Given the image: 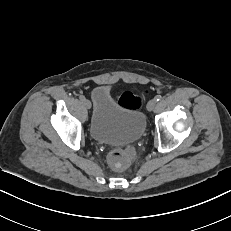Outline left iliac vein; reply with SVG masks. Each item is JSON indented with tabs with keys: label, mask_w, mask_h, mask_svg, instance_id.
I'll return each instance as SVG.
<instances>
[{
	"label": "left iliac vein",
	"mask_w": 231,
	"mask_h": 231,
	"mask_svg": "<svg viewBox=\"0 0 231 231\" xmlns=\"http://www.w3.org/2000/svg\"><path fill=\"white\" fill-rule=\"evenodd\" d=\"M156 103H157V101H156L155 98H154V99H151V100L148 102V104H147V109H148L149 111H152V110L155 108Z\"/></svg>",
	"instance_id": "4c4485c4"
}]
</instances>
